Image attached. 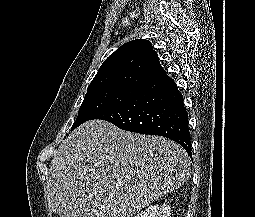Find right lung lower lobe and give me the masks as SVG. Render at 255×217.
<instances>
[{
    "instance_id": "1",
    "label": "right lung lower lobe",
    "mask_w": 255,
    "mask_h": 217,
    "mask_svg": "<svg viewBox=\"0 0 255 217\" xmlns=\"http://www.w3.org/2000/svg\"><path fill=\"white\" fill-rule=\"evenodd\" d=\"M93 119L109 121L126 131L167 137L179 143L191 157L188 114L176 83L168 75L150 83L122 105Z\"/></svg>"
}]
</instances>
